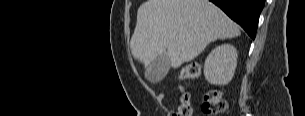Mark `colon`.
I'll list each match as a JSON object with an SVG mask.
<instances>
[{"label": "colon", "mask_w": 305, "mask_h": 116, "mask_svg": "<svg viewBox=\"0 0 305 116\" xmlns=\"http://www.w3.org/2000/svg\"><path fill=\"white\" fill-rule=\"evenodd\" d=\"M202 73L201 65L197 62H191L184 66L179 75L180 106L178 111L172 116H191L192 108L190 104L189 94L183 89L182 82L188 79L199 78ZM228 110L226 101L222 98V94L218 90H210L205 96L203 103V111L208 115L223 114Z\"/></svg>", "instance_id": "5ec220e1"}]
</instances>
